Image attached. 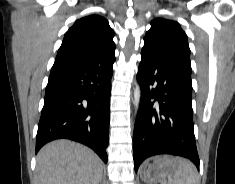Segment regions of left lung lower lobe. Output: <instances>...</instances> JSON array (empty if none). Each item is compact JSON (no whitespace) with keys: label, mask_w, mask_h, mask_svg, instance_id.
<instances>
[{"label":"left lung lower lobe","mask_w":235,"mask_h":184,"mask_svg":"<svg viewBox=\"0 0 235 184\" xmlns=\"http://www.w3.org/2000/svg\"><path fill=\"white\" fill-rule=\"evenodd\" d=\"M137 80L141 100L133 135L135 172L146 158L158 154L188 158L199 170L191 77L158 48L144 45Z\"/></svg>","instance_id":"obj_1"}]
</instances>
